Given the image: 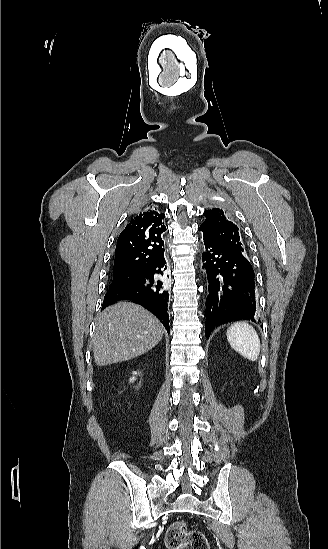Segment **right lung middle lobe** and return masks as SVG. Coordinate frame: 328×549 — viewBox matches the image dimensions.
<instances>
[{
	"label": "right lung middle lobe",
	"instance_id": "right-lung-middle-lobe-1",
	"mask_svg": "<svg viewBox=\"0 0 328 549\" xmlns=\"http://www.w3.org/2000/svg\"><path fill=\"white\" fill-rule=\"evenodd\" d=\"M136 276H137V274H134V275H124V276H115V277H113V281H112V283L110 284V287H111V286H115V285H117V284H119V283H121V282H124V281H126V280H128V279H130V278L136 277Z\"/></svg>",
	"mask_w": 328,
	"mask_h": 549
}]
</instances>
